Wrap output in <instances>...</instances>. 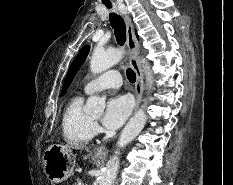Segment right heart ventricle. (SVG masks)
<instances>
[{
    "mask_svg": "<svg viewBox=\"0 0 233 185\" xmlns=\"http://www.w3.org/2000/svg\"><path fill=\"white\" fill-rule=\"evenodd\" d=\"M81 96L73 97L66 106L62 116L64 140L72 146L87 145L93 133V121L82 109Z\"/></svg>",
    "mask_w": 233,
    "mask_h": 185,
    "instance_id": "right-heart-ventricle-1",
    "label": "right heart ventricle"
}]
</instances>
